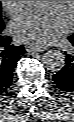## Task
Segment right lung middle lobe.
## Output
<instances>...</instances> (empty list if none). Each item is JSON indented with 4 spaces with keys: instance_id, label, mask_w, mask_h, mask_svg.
<instances>
[{
    "instance_id": "dd1d6c3e",
    "label": "right lung middle lobe",
    "mask_w": 74,
    "mask_h": 122,
    "mask_svg": "<svg viewBox=\"0 0 74 122\" xmlns=\"http://www.w3.org/2000/svg\"><path fill=\"white\" fill-rule=\"evenodd\" d=\"M3 28H4V24H3L2 19L0 17V34H1L2 30H3Z\"/></svg>"
}]
</instances>
